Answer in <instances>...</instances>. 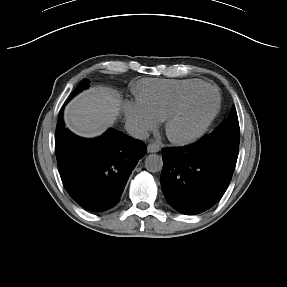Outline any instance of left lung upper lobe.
<instances>
[{
    "mask_svg": "<svg viewBox=\"0 0 287 287\" xmlns=\"http://www.w3.org/2000/svg\"><path fill=\"white\" fill-rule=\"evenodd\" d=\"M214 139L239 147L240 129L235 107L232 112L211 134Z\"/></svg>",
    "mask_w": 287,
    "mask_h": 287,
    "instance_id": "obj_1",
    "label": "left lung upper lobe"
}]
</instances>
